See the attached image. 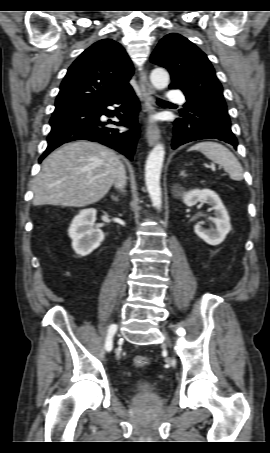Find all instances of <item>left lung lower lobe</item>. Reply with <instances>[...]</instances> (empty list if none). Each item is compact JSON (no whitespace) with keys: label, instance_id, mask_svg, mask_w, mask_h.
I'll use <instances>...</instances> for the list:
<instances>
[{"label":"left lung lower lobe","instance_id":"obj_1","mask_svg":"<svg viewBox=\"0 0 270 453\" xmlns=\"http://www.w3.org/2000/svg\"><path fill=\"white\" fill-rule=\"evenodd\" d=\"M201 139H218L237 148V139L231 125L222 117L212 115L197 106H187L185 113L174 122L172 148Z\"/></svg>","mask_w":270,"mask_h":453}]
</instances>
